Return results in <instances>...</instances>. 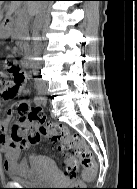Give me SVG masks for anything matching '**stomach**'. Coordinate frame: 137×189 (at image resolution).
I'll use <instances>...</instances> for the list:
<instances>
[{
    "instance_id": "1",
    "label": "stomach",
    "mask_w": 137,
    "mask_h": 189,
    "mask_svg": "<svg viewBox=\"0 0 137 189\" xmlns=\"http://www.w3.org/2000/svg\"><path fill=\"white\" fill-rule=\"evenodd\" d=\"M9 36V30L7 28L1 27L0 28V37L4 38Z\"/></svg>"
}]
</instances>
